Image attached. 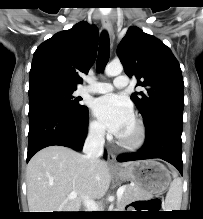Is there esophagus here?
<instances>
[{
	"mask_svg": "<svg viewBox=\"0 0 203 219\" xmlns=\"http://www.w3.org/2000/svg\"><path fill=\"white\" fill-rule=\"evenodd\" d=\"M102 25H103V28L109 33L110 37L113 39L114 38L113 26L108 16L104 15L102 17ZM108 160H109L110 166L116 167L115 156L113 153L111 152L109 153Z\"/></svg>",
	"mask_w": 203,
	"mask_h": 219,
	"instance_id": "obj_1",
	"label": "esophagus"
}]
</instances>
